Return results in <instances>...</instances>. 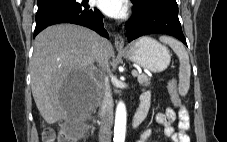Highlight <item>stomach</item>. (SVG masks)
<instances>
[{"instance_id":"1","label":"stomach","mask_w":227,"mask_h":142,"mask_svg":"<svg viewBox=\"0 0 227 142\" xmlns=\"http://www.w3.org/2000/svg\"><path fill=\"white\" fill-rule=\"evenodd\" d=\"M124 56L153 73L164 71L170 64L169 50L153 38L144 36L122 50Z\"/></svg>"}]
</instances>
